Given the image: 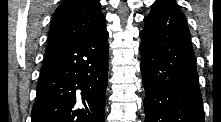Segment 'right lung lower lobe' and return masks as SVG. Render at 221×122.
<instances>
[{
	"instance_id": "98d812e1",
	"label": "right lung lower lobe",
	"mask_w": 221,
	"mask_h": 122,
	"mask_svg": "<svg viewBox=\"0 0 221 122\" xmlns=\"http://www.w3.org/2000/svg\"><path fill=\"white\" fill-rule=\"evenodd\" d=\"M106 26L44 56L31 122H104Z\"/></svg>"
}]
</instances>
